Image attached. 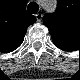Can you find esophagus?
Listing matches in <instances>:
<instances>
[{
    "mask_svg": "<svg viewBox=\"0 0 80 80\" xmlns=\"http://www.w3.org/2000/svg\"><path fill=\"white\" fill-rule=\"evenodd\" d=\"M35 16H36L37 22H41V20H42V14L41 13H37Z\"/></svg>",
    "mask_w": 80,
    "mask_h": 80,
    "instance_id": "esophagus-1",
    "label": "esophagus"
}]
</instances>
